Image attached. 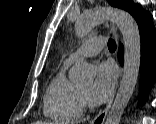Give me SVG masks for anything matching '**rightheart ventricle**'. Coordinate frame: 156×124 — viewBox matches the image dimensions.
I'll return each mask as SVG.
<instances>
[{
  "label": "right heart ventricle",
  "instance_id": "right-heart-ventricle-1",
  "mask_svg": "<svg viewBox=\"0 0 156 124\" xmlns=\"http://www.w3.org/2000/svg\"><path fill=\"white\" fill-rule=\"evenodd\" d=\"M65 65L50 81L43 103L44 115L53 121L67 124L76 122L83 112L80 88L65 77Z\"/></svg>",
  "mask_w": 156,
  "mask_h": 124
}]
</instances>
